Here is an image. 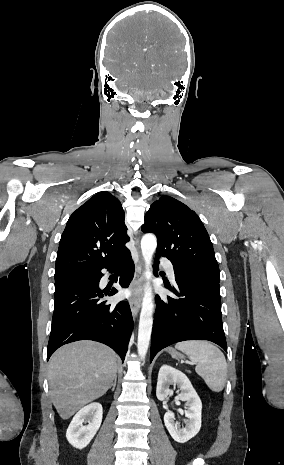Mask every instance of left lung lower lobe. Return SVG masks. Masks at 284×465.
<instances>
[{
	"label": "left lung lower lobe",
	"instance_id": "0a47b994",
	"mask_svg": "<svg viewBox=\"0 0 284 465\" xmlns=\"http://www.w3.org/2000/svg\"><path fill=\"white\" fill-rule=\"evenodd\" d=\"M159 257L155 258L156 268ZM174 273L175 287H166L176 297H156L150 362L161 349L185 340H209L227 352L219 283L175 268Z\"/></svg>",
	"mask_w": 284,
	"mask_h": 465
}]
</instances>
